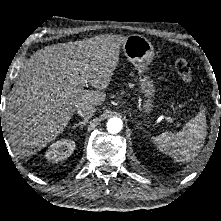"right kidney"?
<instances>
[{
  "instance_id": "ca27d5eb",
  "label": "right kidney",
  "mask_w": 221,
  "mask_h": 221,
  "mask_svg": "<svg viewBox=\"0 0 221 221\" xmlns=\"http://www.w3.org/2000/svg\"><path fill=\"white\" fill-rule=\"evenodd\" d=\"M75 149V142L70 139L58 140L50 145L45 153L48 161L59 162L67 159Z\"/></svg>"
}]
</instances>
